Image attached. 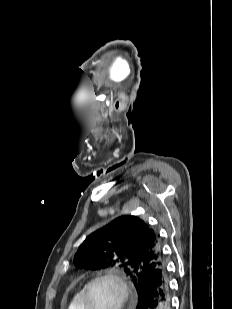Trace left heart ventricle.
I'll return each instance as SVG.
<instances>
[{
	"instance_id": "b2bd125f",
	"label": "left heart ventricle",
	"mask_w": 232,
	"mask_h": 309,
	"mask_svg": "<svg viewBox=\"0 0 232 309\" xmlns=\"http://www.w3.org/2000/svg\"><path fill=\"white\" fill-rule=\"evenodd\" d=\"M120 301L119 287L110 280H100L89 291L91 309H116Z\"/></svg>"
}]
</instances>
